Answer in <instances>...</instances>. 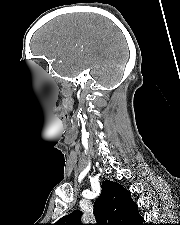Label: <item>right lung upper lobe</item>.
<instances>
[{"instance_id": "1", "label": "right lung upper lobe", "mask_w": 180, "mask_h": 225, "mask_svg": "<svg viewBox=\"0 0 180 225\" xmlns=\"http://www.w3.org/2000/svg\"><path fill=\"white\" fill-rule=\"evenodd\" d=\"M101 187L102 192L94 203L96 225H135L139 222L141 216L129 191L109 180ZM80 216V211H73L53 225H83Z\"/></svg>"}]
</instances>
